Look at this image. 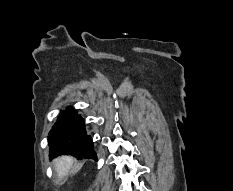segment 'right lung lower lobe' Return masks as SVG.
<instances>
[{"label": "right lung lower lobe", "mask_w": 233, "mask_h": 191, "mask_svg": "<svg viewBox=\"0 0 233 191\" xmlns=\"http://www.w3.org/2000/svg\"><path fill=\"white\" fill-rule=\"evenodd\" d=\"M48 140L51 158L66 154L97 160L92 139L85 132L84 120L70 107L61 111Z\"/></svg>", "instance_id": "obj_1"}]
</instances>
